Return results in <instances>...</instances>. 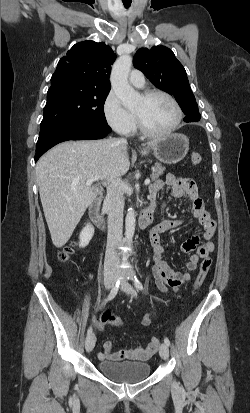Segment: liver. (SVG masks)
Returning <instances> with one entry per match:
<instances>
[{
    "label": "liver",
    "mask_w": 250,
    "mask_h": 413,
    "mask_svg": "<svg viewBox=\"0 0 250 413\" xmlns=\"http://www.w3.org/2000/svg\"><path fill=\"white\" fill-rule=\"evenodd\" d=\"M155 142H148V148ZM129 167L127 144L115 138L66 141L38 160L36 178L54 246L61 248L68 242L98 195L99 187L86 186V181L100 176L98 185L106 186L126 174Z\"/></svg>",
    "instance_id": "obj_1"
}]
</instances>
